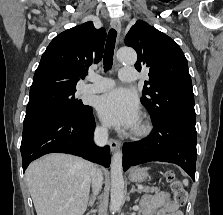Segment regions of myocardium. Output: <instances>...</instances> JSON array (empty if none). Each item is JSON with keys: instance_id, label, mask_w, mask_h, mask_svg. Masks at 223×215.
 Here are the masks:
<instances>
[{"instance_id": "myocardium-1", "label": "myocardium", "mask_w": 223, "mask_h": 215, "mask_svg": "<svg viewBox=\"0 0 223 215\" xmlns=\"http://www.w3.org/2000/svg\"><path fill=\"white\" fill-rule=\"evenodd\" d=\"M152 130L151 125L144 120H140L132 129L131 133L135 138H145Z\"/></svg>"}]
</instances>
